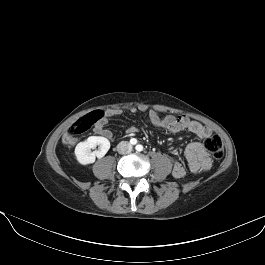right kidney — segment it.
<instances>
[{
	"instance_id": "right-kidney-1",
	"label": "right kidney",
	"mask_w": 265,
	"mask_h": 265,
	"mask_svg": "<svg viewBox=\"0 0 265 265\" xmlns=\"http://www.w3.org/2000/svg\"><path fill=\"white\" fill-rule=\"evenodd\" d=\"M99 146L97 151L91 152V149ZM110 149V142L107 138L101 136H91L77 144L75 155L81 165H88L95 162L96 157L102 158Z\"/></svg>"
}]
</instances>
